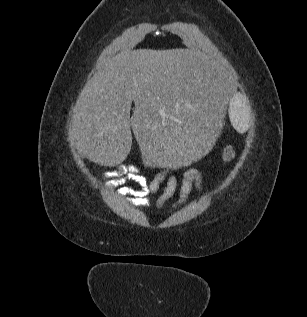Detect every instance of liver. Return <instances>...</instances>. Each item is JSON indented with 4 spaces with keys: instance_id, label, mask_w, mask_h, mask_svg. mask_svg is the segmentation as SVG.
I'll list each match as a JSON object with an SVG mask.
<instances>
[{
    "instance_id": "obj_1",
    "label": "liver",
    "mask_w": 307,
    "mask_h": 317,
    "mask_svg": "<svg viewBox=\"0 0 307 317\" xmlns=\"http://www.w3.org/2000/svg\"><path fill=\"white\" fill-rule=\"evenodd\" d=\"M221 67L187 49L121 53L83 88L69 139L90 161L113 166L128 155L132 128L142 159L187 171L222 142L233 84Z\"/></svg>"
}]
</instances>
